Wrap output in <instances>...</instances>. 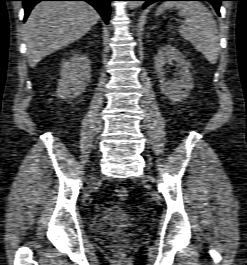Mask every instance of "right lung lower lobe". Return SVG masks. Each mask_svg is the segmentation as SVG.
<instances>
[{
	"label": "right lung lower lobe",
	"mask_w": 247,
	"mask_h": 265,
	"mask_svg": "<svg viewBox=\"0 0 247 265\" xmlns=\"http://www.w3.org/2000/svg\"><path fill=\"white\" fill-rule=\"evenodd\" d=\"M25 9L24 20L27 19L32 8L40 1H86L91 4L102 16L106 23L109 22L110 15V1L113 0H21Z\"/></svg>",
	"instance_id": "98d812e1"
}]
</instances>
